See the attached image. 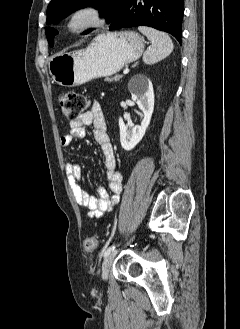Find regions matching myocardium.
<instances>
[{"instance_id": "1", "label": "myocardium", "mask_w": 240, "mask_h": 329, "mask_svg": "<svg viewBox=\"0 0 240 329\" xmlns=\"http://www.w3.org/2000/svg\"><path fill=\"white\" fill-rule=\"evenodd\" d=\"M85 18L84 21L82 19ZM106 18L103 9L94 3H83L75 6L66 15L63 29L68 34H81L101 28L105 25Z\"/></svg>"}]
</instances>
